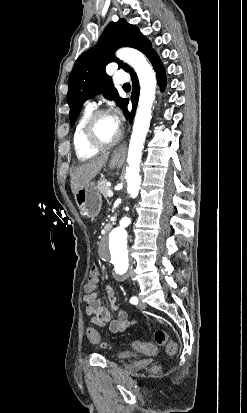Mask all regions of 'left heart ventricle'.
<instances>
[{
	"mask_svg": "<svg viewBox=\"0 0 247 413\" xmlns=\"http://www.w3.org/2000/svg\"><path fill=\"white\" fill-rule=\"evenodd\" d=\"M96 136L104 142H108L117 137L118 132L111 128L105 118H100L95 126Z\"/></svg>",
	"mask_w": 247,
	"mask_h": 413,
	"instance_id": "b2bd125f",
	"label": "left heart ventricle"
}]
</instances>
